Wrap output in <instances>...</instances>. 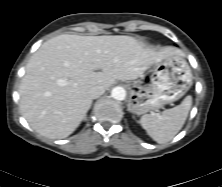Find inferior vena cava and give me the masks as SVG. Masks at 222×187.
Wrapping results in <instances>:
<instances>
[{
  "label": "inferior vena cava",
  "mask_w": 222,
  "mask_h": 187,
  "mask_svg": "<svg viewBox=\"0 0 222 187\" xmlns=\"http://www.w3.org/2000/svg\"><path fill=\"white\" fill-rule=\"evenodd\" d=\"M104 92L105 88L100 85L93 86L88 90V94L92 99L100 97Z\"/></svg>",
  "instance_id": "1"
}]
</instances>
